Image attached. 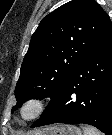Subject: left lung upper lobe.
<instances>
[{"label": "left lung upper lobe", "instance_id": "5c2ea615", "mask_svg": "<svg viewBox=\"0 0 112 135\" xmlns=\"http://www.w3.org/2000/svg\"><path fill=\"white\" fill-rule=\"evenodd\" d=\"M111 25L94 0H72L45 16L24 57L12 111L31 98H52Z\"/></svg>", "mask_w": 112, "mask_h": 135}]
</instances>
